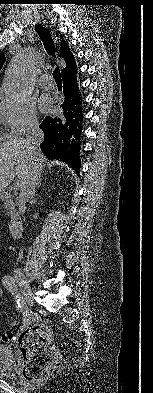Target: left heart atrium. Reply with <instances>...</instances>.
<instances>
[{"instance_id": "left-heart-atrium-1", "label": "left heart atrium", "mask_w": 153, "mask_h": 393, "mask_svg": "<svg viewBox=\"0 0 153 393\" xmlns=\"http://www.w3.org/2000/svg\"><path fill=\"white\" fill-rule=\"evenodd\" d=\"M50 107L49 100L45 97L41 99V108L44 111H47Z\"/></svg>"}]
</instances>
